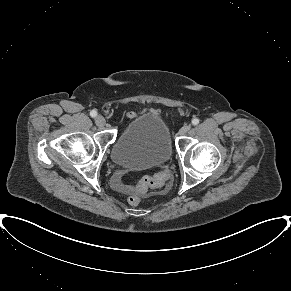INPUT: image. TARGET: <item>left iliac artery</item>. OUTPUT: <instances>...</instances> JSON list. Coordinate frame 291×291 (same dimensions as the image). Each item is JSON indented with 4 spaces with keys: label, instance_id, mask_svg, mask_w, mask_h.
Masks as SVG:
<instances>
[{
    "label": "left iliac artery",
    "instance_id": "left-iliac-artery-1",
    "mask_svg": "<svg viewBox=\"0 0 291 291\" xmlns=\"http://www.w3.org/2000/svg\"><path fill=\"white\" fill-rule=\"evenodd\" d=\"M192 124H193V125H198V124H199V119H198V118H194V119L192 120Z\"/></svg>",
    "mask_w": 291,
    "mask_h": 291
}]
</instances>
